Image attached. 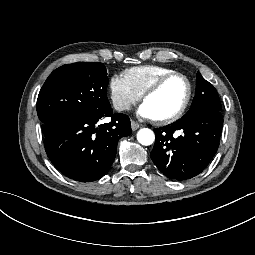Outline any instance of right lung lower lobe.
<instances>
[{
    "instance_id": "1",
    "label": "right lung lower lobe",
    "mask_w": 255,
    "mask_h": 255,
    "mask_svg": "<svg viewBox=\"0 0 255 255\" xmlns=\"http://www.w3.org/2000/svg\"><path fill=\"white\" fill-rule=\"evenodd\" d=\"M107 117H111V122L101 125L97 124V118L72 117L45 126L47 156L66 177L92 182L109 170L118 140L131 134V123L125 114L112 111Z\"/></svg>"
}]
</instances>
